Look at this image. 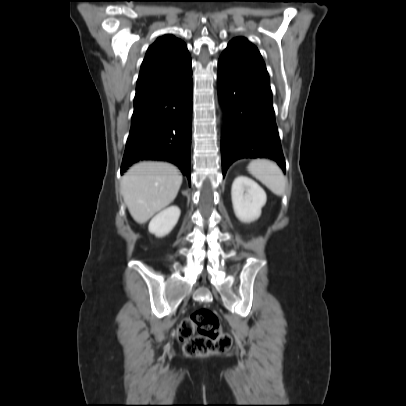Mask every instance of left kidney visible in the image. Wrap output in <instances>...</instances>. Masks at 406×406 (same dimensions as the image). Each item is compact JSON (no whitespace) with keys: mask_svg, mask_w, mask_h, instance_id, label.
<instances>
[{"mask_svg":"<svg viewBox=\"0 0 406 406\" xmlns=\"http://www.w3.org/2000/svg\"><path fill=\"white\" fill-rule=\"evenodd\" d=\"M231 196L235 215L240 221L246 223L259 218L267 200L265 191L246 176L235 178Z\"/></svg>","mask_w":406,"mask_h":406,"instance_id":"1","label":"left kidney"}]
</instances>
